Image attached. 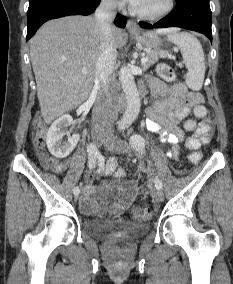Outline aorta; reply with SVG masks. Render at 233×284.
I'll return each mask as SVG.
<instances>
[{"label": "aorta", "instance_id": "aorta-1", "mask_svg": "<svg viewBox=\"0 0 233 284\" xmlns=\"http://www.w3.org/2000/svg\"><path fill=\"white\" fill-rule=\"evenodd\" d=\"M119 81L126 98V109L120 121V127L127 128L136 120L140 111L141 100L134 82V76L128 67L120 69Z\"/></svg>", "mask_w": 233, "mask_h": 284}]
</instances>
